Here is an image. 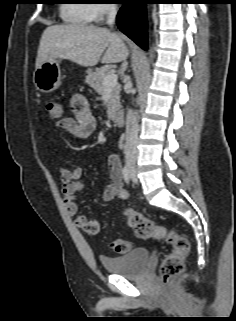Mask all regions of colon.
Wrapping results in <instances>:
<instances>
[{"label":"colon","instance_id":"5ec220e1","mask_svg":"<svg viewBox=\"0 0 236 321\" xmlns=\"http://www.w3.org/2000/svg\"><path fill=\"white\" fill-rule=\"evenodd\" d=\"M45 107L52 120L57 121L61 118L62 107L58 102L48 100ZM124 215L128 225L139 239H158L171 245L172 248L164 257L159 269L162 282L168 285L180 276L184 271V258L190 249L189 241L167 227L157 225L153 220L132 209H126ZM110 247L114 252L124 254L130 250V243L125 239H115L111 242Z\"/></svg>","mask_w":236,"mask_h":321}]
</instances>
